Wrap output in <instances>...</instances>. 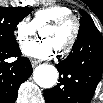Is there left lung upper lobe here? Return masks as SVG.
I'll return each mask as SVG.
<instances>
[{
  "label": "left lung upper lobe",
  "instance_id": "left-lung-upper-lobe-1",
  "mask_svg": "<svg viewBox=\"0 0 103 103\" xmlns=\"http://www.w3.org/2000/svg\"><path fill=\"white\" fill-rule=\"evenodd\" d=\"M79 12L81 14V18H80V28L78 32V37L87 31L97 30L90 15L83 10H80Z\"/></svg>",
  "mask_w": 103,
  "mask_h": 103
}]
</instances>
